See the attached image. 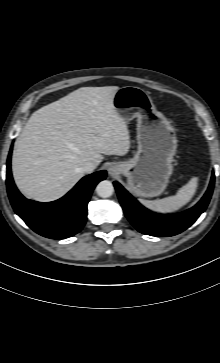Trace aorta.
<instances>
[{"label": "aorta", "instance_id": "762f6f07", "mask_svg": "<svg viewBox=\"0 0 220 363\" xmlns=\"http://www.w3.org/2000/svg\"><path fill=\"white\" fill-rule=\"evenodd\" d=\"M96 192L99 197L108 198L112 196L114 192L113 184L111 183V181L103 180L99 182L98 185L96 186Z\"/></svg>", "mask_w": 220, "mask_h": 363}]
</instances>
